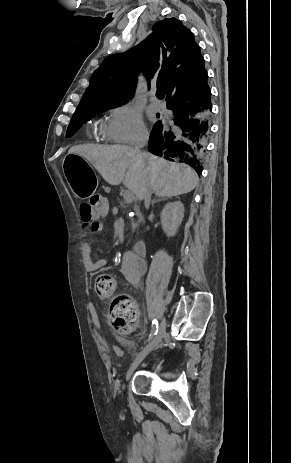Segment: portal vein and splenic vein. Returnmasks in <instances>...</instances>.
<instances>
[{
    "mask_svg": "<svg viewBox=\"0 0 291 463\" xmlns=\"http://www.w3.org/2000/svg\"><path fill=\"white\" fill-rule=\"evenodd\" d=\"M134 199L133 192L130 189H126L124 192V200L128 203H131Z\"/></svg>",
    "mask_w": 291,
    "mask_h": 463,
    "instance_id": "1",
    "label": "portal vein and splenic vein"
}]
</instances>
